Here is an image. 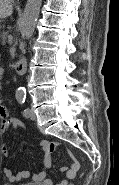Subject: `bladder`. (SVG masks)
Here are the masks:
<instances>
[{"instance_id":"bladder-1","label":"bladder","mask_w":119,"mask_h":185,"mask_svg":"<svg viewBox=\"0 0 119 185\" xmlns=\"http://www.w3.org/2000/svg\"><path fill=\"white\" fill-rule=\"evenodd\" d=\"M5 185H13V184H5ZM18 185H43V184L30 182V183H22V184H18Z\"/></svg>"}]
</instances>
